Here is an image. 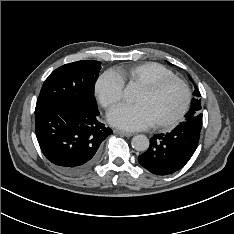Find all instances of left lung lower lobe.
<instances>
[{
  "instance_id": "1",
  "label": "left lung lower lobe",
  "mask_w": 234,
  "mask_h": 234,
  "mask_svg": "<svg viewBox=\"0 0 234 234\" xmlns=\"http://www.w3.org/2000/svg\"><path fill=\"white\" fill-rule=\"evenodd\" d=\"M200 131L178 125L171 132L156 134L146 152L138 156L139 163L153 174L168 175L180 170L194 154Z\"/></svg>"
}]
</instances>
